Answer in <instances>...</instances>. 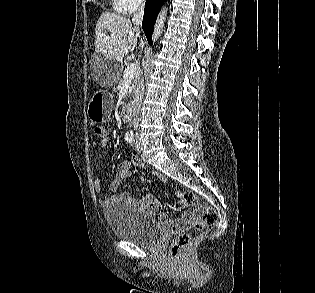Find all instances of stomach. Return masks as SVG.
Returning a JSON list of instances; mask_svg holds the SVG:
<instances>
[{"instance_id":"stomach-1","label":"stomach","mask_w":315,"mask_h":293,"mask_svg":"<svg viewBox=\"0 0 315 293\" xmlns=\"http://www.w3.org/2000/svg\"><path fill=\"white\" fill-rule=\"evenodd\" d=\"M113 96L105 91L96 92L89 102L87 113L94 123L105 122L111 114Z\"/></svg>"}]
</instances>
